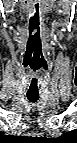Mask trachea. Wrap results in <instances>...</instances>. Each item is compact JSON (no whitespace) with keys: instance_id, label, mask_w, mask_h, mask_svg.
I'll return each mask as SVG.
<instances>
[{"instance_id":"trachea-1","label":"trachea","mask_w":77,"mask_h":143,"mask_svg":"<svg viewBox=\"0 0 77 143\" xmlns=\"http://www.w3.org/2000/svg\"><path fill=\"white\" fill-rule=\"evenodd\" d=\"M27 98H28V100H29L30 102L35 103V102H37V100L39 99V95H30V94H28V95H27Z\"/></svg>"}]
</instances>
